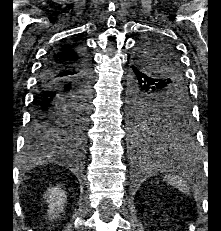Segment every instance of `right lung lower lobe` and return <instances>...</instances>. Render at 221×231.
<instances>
[{"mask_svg": "<svg viewBox=\"0 0 221 231\" xmlns=\"http://www.w3.org/2000/svg\"><path fill=\"white\" fill-rule=\"evenodd\" d=\"M49 57L39 77L30 129L26 138V151L29 155H35L43 154V151L49 153L64 149L80 155L83 146L66 134L61 117L65 105L73 97L80 95L85 98L86 103L90 102V60L82 51L76 64L71 65L60 66L49 60ZM65 67L75 69L77 74L68 80L57 79V75Z\"/></svg>", "mask_w": 221, "mask_h": 231, "instance_id": "right-lung-lower-lobe-1", "label": "right lung lower lobe"}]
</instances>
